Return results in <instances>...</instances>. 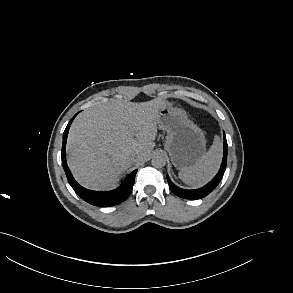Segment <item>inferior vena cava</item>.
Instances as JSON below:
<instances>
[{"label": "inferior vena cava", "mask_w": 293, "mask_h": 293, "mask_svg": "<svg viewBox=\"0 0 293 293\" xmlns=\"http://www.w3.org/2000/svg\"><path fill=\"white\" fill-rule=\"evenodd\" d=\"M139 156H131L130 158H129V162L130 163H138L139 162Z\"/></svg>", "instance_id": "1"}]
</instances>
